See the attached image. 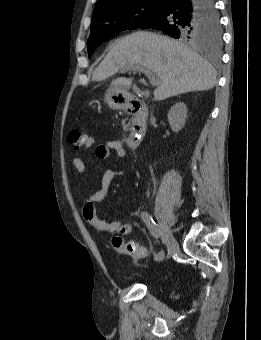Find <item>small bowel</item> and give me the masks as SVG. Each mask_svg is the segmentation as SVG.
Segmentation results:
<instances>
[{"instance_id":"small-bowel-1","label":"small bowel","mask_w":261,"mask_h":340,"mask_svg":"<svg viewBox=\"0 0 261 340\" xmlns=\"http://www.w3.org/2000/svg\"><path fill=\"white\" fill-rule=\"evenodd\" d=\"M98 136L89 135L86 137L83 147L90 149L97 141ZM113 152L116 157L123 158L126 155V149L124 144L119 139H104L95 149V155L100 160H106ZM72 164L79 174H84L86 170L85 162L75 157L72 160ZM118 172L111 168H107L101 179V187L99 190L89 193L85 203L81 206V213L85 221L92 226L95 230L107 233H114L119 235L131 234L134 231V227L131 224L124 223L121 220L107 222L100 219L97 216L95 203L102 201L109 190V187Z\"/></svg>"}]
</instances>
